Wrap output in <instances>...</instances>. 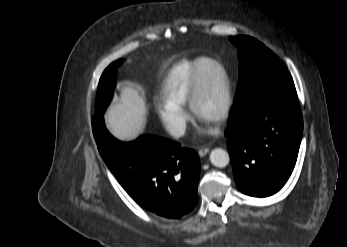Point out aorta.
<instances>
[{
  "instance_id": "obj_1",
  "label": "aorta",
  "mask_w": 347,
  "mask_h": 247,
  "mask_svg": "<svg viewBox=\"0 0 347 247\" xmlns=\"http://www.w3.org/2000/svg\"><path fill=\"white\" fill-rule=\"evenodd\" d=\"M210 161L214 166L224 168L229 164L230 157L224 149L215 148L210 153Z\"/></svg>"
}]
</instances>
